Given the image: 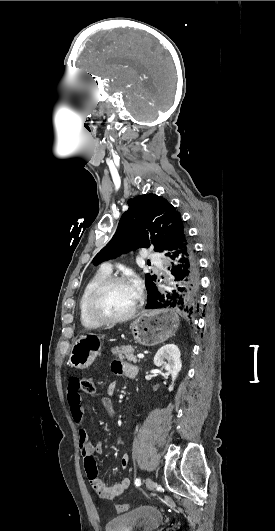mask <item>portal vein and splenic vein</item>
Returning <instances> with one entry per match:
<instances>
[{
    "label": "portal vein and splenic vein",
    "mask_w": 275,
    "mask_h": 531,
    "mask_svg": "<svg viewBox=\"0 0 275 531\" xmlns=\"http://www.w3.org/2000/svg\"><path fill=\"white\" fill-rule=\"evenodd\" d=\"M138 359H143L144 355H137Z\"/></svg>",
    "instance_id": "portal-vein-and-splenic-vein-1"
}]
</instances>
